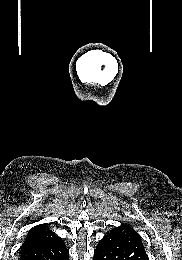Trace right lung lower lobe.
<instances>
[{
  "label": "right lung lower lobe",
  "mask_w": 182,
  "mask_h": 260,
  "mask_svg": "<svg viewBox=\"0 0 182 260\" xmlns=\"http://www.w3.org/2000/svg\"><path fill=\"white\" fill-rule=\"evenodd\" d=\"M20 260H69V252L60 240L23 250Z\"/></svg>",
  "instance_id": "98d812e1"
}]
</instances>
